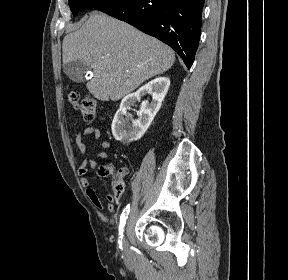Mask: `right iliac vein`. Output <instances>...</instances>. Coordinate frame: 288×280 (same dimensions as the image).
Returning a JSON list of instances; mask_svg holds the SVG:
<instances>
[{
	"mask_svg": "<svg viewBox=\"0 0 288 280\" xmlns=\"http://www.w3.org/2000/svg\"><path fill=\"white\" fill-rule=\"evenodd\" d=\"M122 242H123L124 254H127L128 253V242L125 238L123 239Z\"/></svg>",
	"mask_w": 288,
	"mask_h": 280,
	"instance_id": "63e3f726",
	"label": "right iliac vein"
}]
</instances>
